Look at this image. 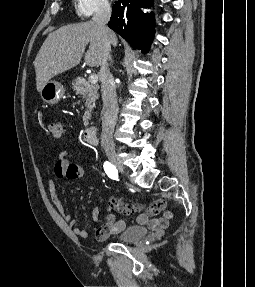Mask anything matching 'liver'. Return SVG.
<instances>
[{
  "instance_id": "1",
  "label": "liver",
  "mask_w": 255,
  "mask_h": 287,
  "mask_svg": "<svg viewBox=\"0 0 255 287\" xmlns=\"http://www.w3.org/2000/svg\"><path fill=\"white\" fill-rule=\"evenodd\" d=\"M90 44L85 56L87 66H100L103 54V40L99 26L93 22L69 24L47 36L33 64L36 72L37 92L58 74H63L80 64L85 46ZM110 44L117 46L115 34Z\"/></svg>"
}]
</instances>
